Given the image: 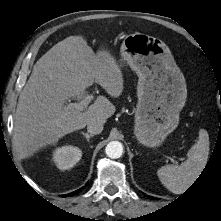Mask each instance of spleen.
I'll list each match as a JSON object with an SVG mask.
<instances>
[{
	"label": "spleen",
	"instance_id": "obj_1",
	"mask_svg": "<svg viewBox=\"0 0 221 221\" xmlns=\"http://www.w3.org/2000/svg\"><path fill=\"white\" fill-rule=\"evenodd\" d=\"M209 155V135L200 129L197 142L187 153V160L180 165L162 166L157 175L162 184L172 193L181 194L198 178Z\"/></svg>",
	"mask_w": 221,
	"mask_h": 221
}]
</instances>
